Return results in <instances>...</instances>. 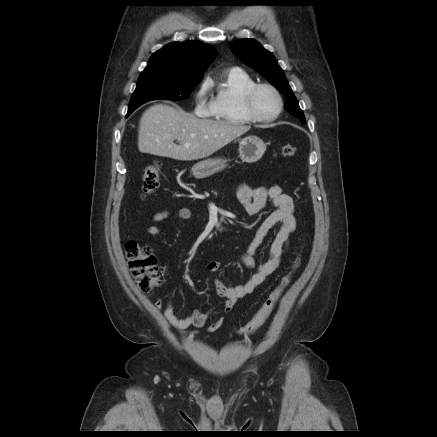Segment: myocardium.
<instances>
[{
    "mask_svg": "<svg viewBox=\"0 0 437 437\" xmlns=\"http://www.w3.org/2000/svg\"><path fill=\"white\" fill-rule=\"evenodd\" d=\"M263 88H266V89H269L270 91H272L273 94L275 95L277 101H278V109L275 112V114H273L270 117H263V116L259 115L254 108L255 95L260 89H263ZM243 105H244V109H245L246 114L253 121L271 122L280 116V114L283 111L284 103H283V98H282L279 90L275 86H273L272 84H269V83H255L254 85L250 86L246 90V92L244 93Z\"/></svg>",
    "mask_w": 437,
    "mask_h": 437,
    "instance_id": "obj_1",
    "label": "myocardium"
}]
</instances>
